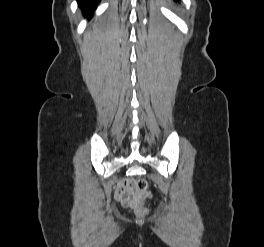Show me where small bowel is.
I'll list each match as a JSON object with an SVG mask.
<instances>
[{
	"label": "small bowel",
	"instance_id": "1",
	"mask_svg": "<svg viewBox=\"0 0 264 247\" xmlns=\"http://www.w3.org/2000/svg\"><path fill=\"white\" fill-rule=\"evenodd\" d=\"M131 180L130 179H124L121 180L117 186H116V196L120 200V196L125 194H131L133 192L131 187Z\"/></svg>",
	"mask_w": 264,
	"mask_h": 247
}]
</instances>
